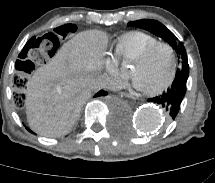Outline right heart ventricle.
<instances>
[{"mask_svg":"<svg viewBox=\"0 0 215 183\" xmlns=\"http://www.w3.org/2000/svg\"><path fill=\"white\" fill-rule=\"evenodd\" d=\"M160 42L154 35L133 30L124 33L115 45V53L122 60H132L143 50Z\"/></svg>","mask_w":215,"mask_h":183,"instance_id":"obj_1","label":"right heart ventricle"}]
</instances>
